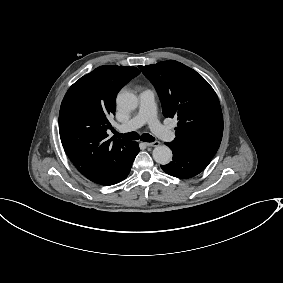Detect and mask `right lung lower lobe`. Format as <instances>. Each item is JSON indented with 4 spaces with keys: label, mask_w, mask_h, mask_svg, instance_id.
<instances>
[{
    "label": "right lung lower lobe",
    "mask_w": 283,
    "mask_h": 283,
    "mask_svg": "<svg viewBox=\"0 0 283 283\" xmlns=\"http://www.w3.org/2000/svg\"><path fill=\"white\" fill-rule=\"evenodd\" d=\"M138 152H139V146H138V143L135 142L134 154H133V157L130 160V162L121 171H119L117 174H115L113 177L107 179L104 182L98 183V184L109 186V185L117 184L120 181H122L123 179H125L128 176L129 172H130L132 163H133L136 155L138 154Z\"/></svg>",
    "instance_id": "1"
}]
</instances>
